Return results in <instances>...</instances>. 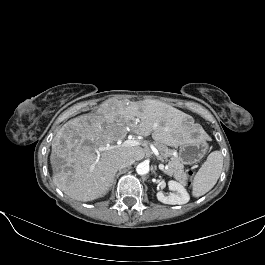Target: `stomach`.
<instances>
[{
	"mask_svg": "<svg viewBox=\"0 0 265 265\" xmlns=\"http://www.w3.org/2000/svg\"><path fill=\"white\" fill-rule=\"evenodd\" d=\"M205 152L204 142L191 138V141L180 146L178 158L183 164H194L204 156Z\"/></svg>",
	"mask_w": 265,
	"mask_h": 265,
	"instance_id": "0dacf381",
	"label": "stomach"
}]
</instances>
